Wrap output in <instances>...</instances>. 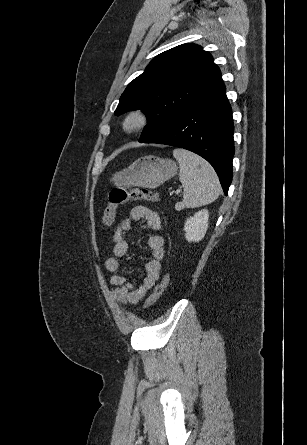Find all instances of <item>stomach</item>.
Returning <instances> with one entry per match:
<instances>
[{"instance_id":"obj_1","label":"stomach","mask_w":307,"mask_h":445,"mask_svg":"<svg viewBox=\"0 0 307 445\" xmlns=\"http://www.w3.org/2000/svg\"><path fill=\"white\" fill-rule=\"evenodd\" d=\"M179 166L171 158H159L146 154L134 160L127 168H122L113 174L111 180L119 188L142 186V188H157L165 180L177 174Z\"/></svg>"}]
</instances>
